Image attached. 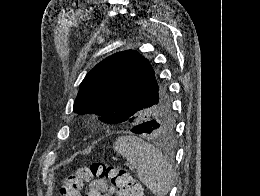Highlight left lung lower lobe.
Wrapping results in <instances>:
<instances>
[{
    "mask_svg": "<svg viewBox=\"0 0 260 196\" xmlns=\"http://www.w3.org/2000/svg\"><path fill=\"white\" fill-rule=\"evenodd\" d=\"M135 112V109L119 106L116 108H109L101 113L102 120L109 124L122 123L127 121ZM155 127L153 121H146L132 127L131 132L145 136L151 135Z\"/></svg>",
    "mask_w": 260,
    "mask_h": 196,
    "instance_id": "0a47b994",
    "label": "left lung lower lobe"
}]
</instances>
